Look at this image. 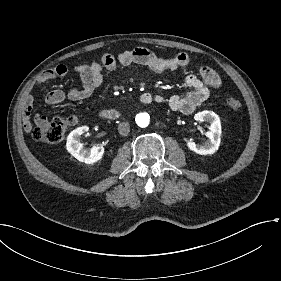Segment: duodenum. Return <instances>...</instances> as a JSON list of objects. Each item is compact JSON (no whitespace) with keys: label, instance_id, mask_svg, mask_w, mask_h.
<instances>
[{"label":"duodenum","instance_id":"410a0bca","mask_svg":"<svg viewBox=\"0 0 281 281\" xmlns=\"http://www.w3.org/2000/svg\"><path fill=\"white\" fill-rule=\"evenodd\" d=\"M152 95L150 93H145L140 97L141 103H148L151 101ZM100 120H117L119 118V113L115 110H104L98 114Z\"/></svg>","mask_w":281,"mask_h":281}]
</instances>
